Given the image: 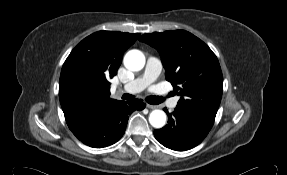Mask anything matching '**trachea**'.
I'll return each mask as SVG.
<instances>
[{
	"label": "trachea",
	"instance_id": "obj_1",
	"mask_svg": "<svg viewBox=\"0 0 287 175\" xmlns=\"http://www.w3.org/2000/svg\"><path fill=\"white\" fill-rule=\"evenodd\" d=\"M122 98L126 99V100H130V99H133L134 96L130 95V94H124ZM146 101L149 104L157 105V104L162 103L164 101V98L163 97H159V96H148V97H146Z\"/></svg>",
	"mask_w": 287,
	"mask_h": 175
}]
</instances>
